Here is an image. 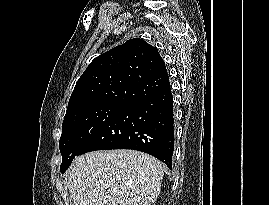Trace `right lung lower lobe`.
Returning <instances> with one entry per match:
<instances>
[{
	"instance_id": "98d812e1",
	"label": "right lung lower lobe",
	"mask_w": 269,
	"mask_h": 205,
	"mask_svg": "<svg viewBox=\"0 0 269 205\" xmlns=\"http://www.w3.org/2000/svg\"><path fill=\"white\" fill-rule=\"evenodd\" d=\"M108 149L146 152L171 169L174 150L171 89L127 106L88 141L79 155Z\"/></svg>"
}]
</instances>
